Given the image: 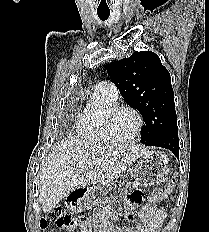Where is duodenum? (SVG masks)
Instances as JSON below:
<instances>
[{"label": "duodenum", "mask_w": 209, "mask_h": 232, "mask_svg": "<svg viewBox=\"0 0 209 232\" xmlns=\"http://www.w3.org/2000/svg\"><path fill=\"white\" fill-rule=\"evenodd\" d=\"M86 191H87V189L85 187H78V188H76L73 191L72 195L70 196V201L73 202L74 198H77L78 200L82 199L85 196Z\"/></svg>", "instance_id": "410a0bca"}]
</instances>
